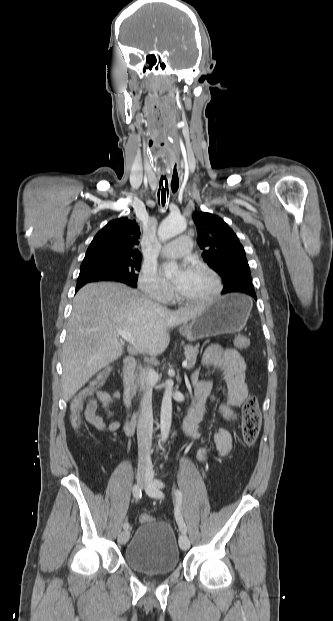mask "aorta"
Here are the masks:
<instances>
[{
    "instance_id": "aorta-1",
    "label": "aorta",
    "mask_w": 333,
    "mask_h": 621,
    "mask_svg": "<svg viewBox=\"0 0 333 621\" xmlns=\"http://www.w3.org/2000/svg\"><path fill=\"white\" fill-rule=\"evenodd\" d=\"M186 229V221L180 215H169L158 227V237L161 241H167ZM172 388L173 382L168 380L165 383V392L162 399L160 413L161 440L165 442L168 438L172 422Z\"/></svg>"
}]
</instances>
